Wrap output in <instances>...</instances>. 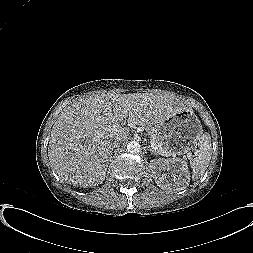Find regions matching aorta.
<instances>
[{
	"label": "aorta",
	"mask_w": 253,
	"mask_h": 253,
	"mask_svg": "<svg viewBox=\"0 0 253 253\" xmlns=\"http://www.w3.org/2000/svg\"><path fill=\"white\" fill-rule=\"evenodd\" d=\"M126 150L129 153H137L140 150V144L136 141H130L127 143Z\"/></svg>",
	"instance_id": "762f6f07"
}]
</instances>
